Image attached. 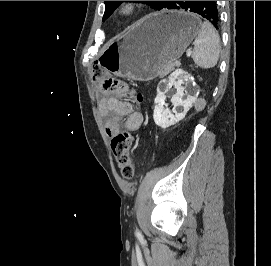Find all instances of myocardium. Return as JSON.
<instances>
[{
  "label": "myocardium",
  "instance_id": "obj_1",
  "mask_svg": "<svg viewBox=\"0 0 271 266\" xmlns=\"http://www.w3.org/2000/svg\"><path fill=\"white\" fill-rule=\"evenodd\" d=\"M138 11V5L131 2L119 3L115 9V15L119 20L131 19Z\"/></svg>",
  "mask_w": 271,
  "mask_h": 266
}]
</instances>
